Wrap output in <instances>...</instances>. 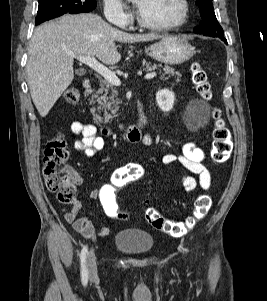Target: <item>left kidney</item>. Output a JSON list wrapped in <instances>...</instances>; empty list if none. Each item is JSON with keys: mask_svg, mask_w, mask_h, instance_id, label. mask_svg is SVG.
Wrapping results in <instances>:
<instances>
[{"mask_svg": "<svg viewBox=\"0 0 267 301\" xmlns=\"http://www.w3.org/2000/svg\"><path fill=\"white\" fill-rule=\"evenodd\" d=\"M156 101L162 111L168 112L173 108L175 95L168 89H162L156 93Z\"/></svg>", "mask_w": 267, "mask_h": 301, "instance_id": "1", "label": "left kidney"}]
</instances>
